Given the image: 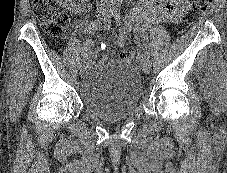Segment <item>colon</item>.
Masks as SVG:
<instances>
[{
    "label": "colon",
    "mask_w": 227,
    "mask_h": 173,
    "mask_svg": "<svg viewBox=\"0 0 227 173\" xmlns=\"http://www.w3.org/2000/svg\"><path fill=\"white\" fill-rule=\"evenodd\" d=\"M211 2L212 0H191L193 8L199 11H206ZM33 10L47 35L54 38L63 35L68 25V18L58 9L56 0H33ZM118 56L126 61L138 59V55L126 51L119 52Z\"/></svg>",
    "instance_id": "obj_1"
}]
</instances>
